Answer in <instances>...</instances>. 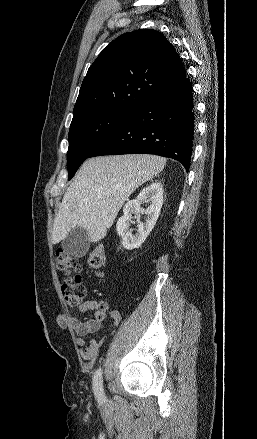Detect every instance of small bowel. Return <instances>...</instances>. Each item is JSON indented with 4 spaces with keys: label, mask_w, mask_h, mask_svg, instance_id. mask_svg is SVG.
Here are the masks:
<instances>
[{
    "label": "small bowel",
    "mask_w": 257,
    "mask_h": 439,
    "mask_svg": "<svg viewBox=\"0 0 257 439\" xmlns=\"http://www.w3.org/2000/svg\"><path fill=\"white\" fill-rule=\"evenodd\" d=\"M79 311L84 313L87 311H93L94 316L92 319L81 321L77 318L70 320L73 330L78 335L76 340L77 345L81 348V355L85 360H93L100 349V344L96 340H91L88 344L84 337L88 334L97 333L104 320L109 317L113 324H117L120 321V315L117 311H109V304L106 301L99 300H87L79 306Z\"/></svg>",
    "instance_id": "obj_1"
}]
</instances>
